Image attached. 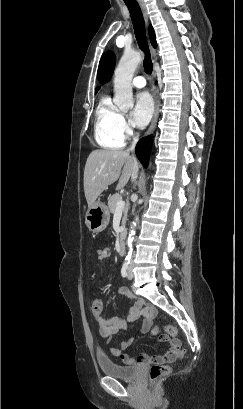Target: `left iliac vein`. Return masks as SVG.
Here are the masks:
<instances>
[{"instance_id":"left-iliac-vein-1","label":"left iliac vein","mask_w":243,"mask_h":409,"mask_svg":"<svg viewBox=\"0 0 243 409\" xmlns=\"http://www.w3.org/2000/svg\"><path fill=\"white\" fill-rule=\"evenodd\" d=\"M133 278V271H132V265L129 266L128 268V279Z\"/></svg>"}]
</instances>
